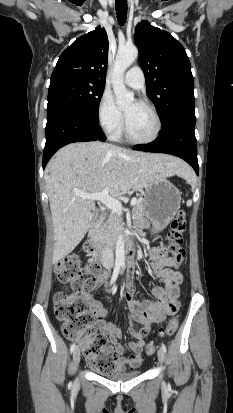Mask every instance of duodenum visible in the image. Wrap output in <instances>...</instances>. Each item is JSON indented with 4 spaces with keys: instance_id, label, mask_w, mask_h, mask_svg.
<instances>
[{
    "instance_id": "410a0bca",
    "label": "duodenum",
    "mask_w": 233,
    "mask_h": 413,
    "mask_svg": "<svg viewBox=\"0 0 233 413\" xmlns=\"http://www.w3.org/2000/svg\"><path fill=\"white\" fill-rule=\"evenodd\" d=\"M92 233V230L90 231V234ZM124 244L128 249H133L134 247V240L132 238H125ZM84 251L95 258L96 260H103L105 256V248L97 246L93 241L87 240L84 245H83ZM129 266L130 268L134 267V260L133 258L129 259Z\"/></svg>"
}]
</instances>
